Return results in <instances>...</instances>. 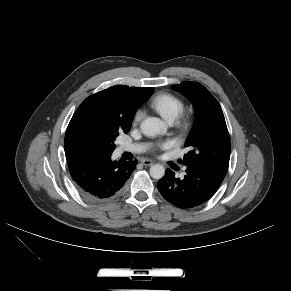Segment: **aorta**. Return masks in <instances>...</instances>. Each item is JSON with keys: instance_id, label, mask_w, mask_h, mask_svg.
I'll use <instances>...</instances> for the list:
<instances>
[{"instance_id": "obj_1", "label": "aorta", "mask_w": 291, "mask_h": 291, "mask_svg": "<svg viewBox=\"0 0 291 291\" xmlns=\"http://www.w3.org/2000/svg\"><path fill=\"white\" fill-rule=\"evenodd\" d=\"M141 132L146 136H156L166 132L165 123L156 117H148L140 124ZM150 175L154 179H161L165 175V168L161 164H154L150 167Z\"/></svg>"}]
</instances>
